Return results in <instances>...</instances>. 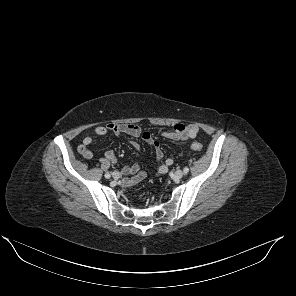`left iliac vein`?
<instances>
[{
    "label": "left iliac vein",
    "instance_id": "left-iliac-vein-1",
    "mask_svg": "<svg viewBox=\"0 0 296 296\" xmlns=\"http://www.w3.org/2000/svg\"><path fill=\"white\" fill-rule=\"evenodd\" d=\"M184 173L182 170H177L175 173H174V178L175 179H181L183 177Z\"/></svg>",
    "mask_w": 296,
    "mask_h": 296
}]
</instances>
